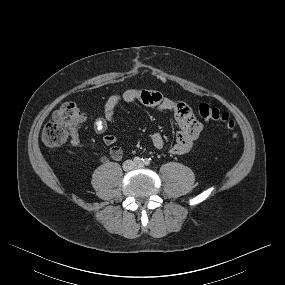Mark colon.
I'll use <instances>...</instances> for the list:
<instances>
[{
	"label": "colon",
	"mask_w": 285,
	"mask_h": 285,
	"mask_svg": "<svg viewBox=\"0 0 285 285\" xmlns=\"http://www.w3.org/2000/svg\"><path fill=\"white\" fill-rule=\"evenodd\" d=\"M200 117L205 121H220L232 137L237 136L235 121L228 111L213 107L209 104H200L198 108ZM85 121L84 112L73 102H64L53 113L52 119L42 131L43 142L50 147L64 144L68 138L77 132L80 125Z\"/></svg>",
	"instance_id": "obj_1"
}]
</instances>
